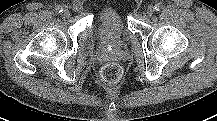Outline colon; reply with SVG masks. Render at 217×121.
I'll list each match as a JSON object with an SVG mask.
<instances>
[{"mask_svg": "<svg viewBox=\"0 0 217 121\" xmlns=\"http://www.w3.org/2000/svg\"><path fill=\"white\" fill-rule=\"evenodd\" d=\"M100 76L104 83L115 84L119 82L123 76V69L116 62L106 63L100 70Z\"/></svg>", "mask_w": 217, "mask_h": 121, "instance_id": "1", "label": "colon"}]
</instances>
